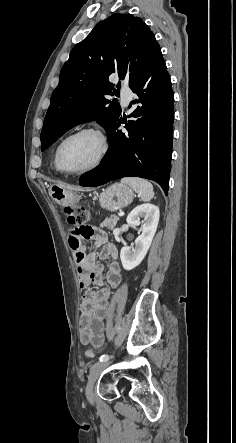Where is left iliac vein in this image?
Masks as SVG:
<instances>
[{"label":"left iliac vein","mask_w":236,"mask_h":443,"mask_svg":"<svg viewBox=\"0 0 236 443\" xmlns=\"http://www.w3.org/2000/svg\"><path fill=\"white\" fill-rule=\"evenodd\" d=\"M109 365L108 362H96L93 364L90 368L89 376H88V383L86 386V397L87 400L93 404L94 403V385L97 381L98 377L100 376L101 372Z\"/></svg>","instance_id":"left-iliac-vein-1"}]
</instances>
